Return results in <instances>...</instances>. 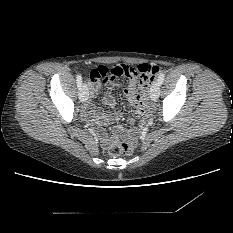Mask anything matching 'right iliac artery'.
I'll use <instances>...</instances> for the list:
<instances>
[{"label": "right iliac artery", "instance_id": "82829eb1", "mask_svg": "<svg viewBox=\"0 0 233 233\" xmlns=\"http://www.w3.org/2000/svg\"><path fill=\"white\" fill-rule=\"evenodd\" d=\"M82 85V77L80 74L77 75V86L78 87H81Z\"/></svg>", "mask_w": 233, "mask_h": 233}]
</instances>
